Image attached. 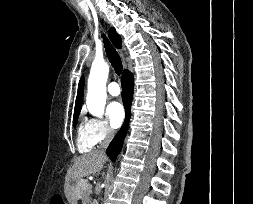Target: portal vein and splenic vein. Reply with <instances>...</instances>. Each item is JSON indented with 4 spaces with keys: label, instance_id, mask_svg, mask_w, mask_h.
I'll list each match as a JSON object with an SVG mask.
<instances>
[{
    "label": "portal vein and splenic vein",
    "instance_id": "portal-vein-and-splenic-vein-1",
    "mask_svg": "<svg viewBox=\"0 0 253 204\" xmlns=\"http://www.w3.org/2000/svg\"><path fill=\"white\" fill-rule=\"evenodd\" d=\"M85 186L87 187V186H89V184H86Z\"/></svg>",
    "mask_w": 253,
    "mask_h": 204
}]
</instances>
